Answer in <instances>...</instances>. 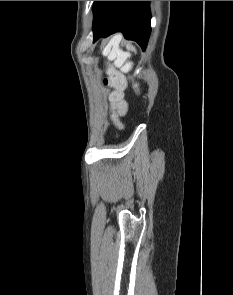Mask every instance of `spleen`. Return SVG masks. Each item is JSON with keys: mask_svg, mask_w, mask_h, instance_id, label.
Masks as SVG:
<instances>
[{"mask_svg": "<svg viewBox=\"0 0 233 295\" xmlns=\"http://www.w3.org/2000/svg\"><path fill=\"white\" fill-rule=\"evenodd\" d=\"M120 41H121L120 36L113 37L111 41L109 42V44L103 50V55H107L109 60H115L116 66L122 65L125 62L126 58L128 57V54L123 53L120 50L119 48ZM127 48L130 51L136 52L135 47L132 45H128Z\"/></svg>", "mask_w": 233, "mask_h": 295, "instance_id": "1", "label": "spleen"}]
</instances>
